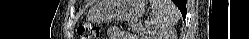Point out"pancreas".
<instances>
[{
	"mask_svg": "<svg viewBox=\"0 0 249 39\" xmlns=\"http://www.w3.org/2000/svg\"><path fill=\"white\" fill-rule=\"evenodd\" d=\"M130 26L132 27V30L136 31L141 36H144L148 32L146 28H144L140 23L132 22L130 23Z\"/></svg>",
	"mask_w": 249,
	"mask_h": 39,
	"instance_id": "cf45deb5",
	"label": "pancreas"
}]
</instances>
